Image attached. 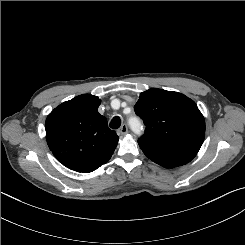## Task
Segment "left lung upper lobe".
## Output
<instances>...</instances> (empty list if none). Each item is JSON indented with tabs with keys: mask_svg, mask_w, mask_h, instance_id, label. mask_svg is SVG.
Segmentation results:
<instances>
[{
	"mask_svg": "<svg viewBox=\"0 0 245 245\" xmlns=\"http://www.w3.org/2000/svg\"><path fill=\"white\" fill-rule=\"evenodd\" d=\"M146 130L139 139L194 158L205 137V121L193 100L158 88L140 94L134 106Z\"/></svg>",
	"mask_w": 245,
	"mask_h": 245,
	"instance_id": "5c2ea615",
	"label": "left lung upper lobe"
}]
</instances>
